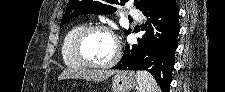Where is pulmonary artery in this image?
<instances>
[{"instance_id": "obj_1", "label": "pulmonary artery", "mask_w": 225, "mask_h": 92, "mask_svg": "<svg viewBox=\"0 0 225 92\" xmlns=\"http://www.w3.org/2000/svg\"><path fill=\"white\" fill-rule=\"evenodd\" d=\"M130 15L139 21L142 20V15L138 11L132 10L130 11Z\"/></svg>"}]
</instances>
